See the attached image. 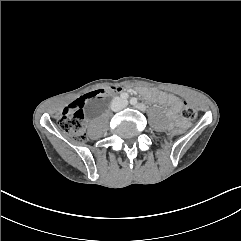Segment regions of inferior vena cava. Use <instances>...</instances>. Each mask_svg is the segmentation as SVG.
Masks as SVG:
<instances>
[{
    "mask_svg": "<svg viewBox=\"0 0 241 241\" xmlns=\"http://www.w3.org/2000/svg\"><path fill=\"white\" fill-rule=\"evenodd\" d=\"M128 105L127 100H121V99H116L113 104H112V110L113 111H119L123 108H125Z\"/></svg>",
    "mask_w": 241,
    "mask_h": 241,
    "instance_id": "602c4592",
    "label": "inferior vena cava"
}]
</instances>
